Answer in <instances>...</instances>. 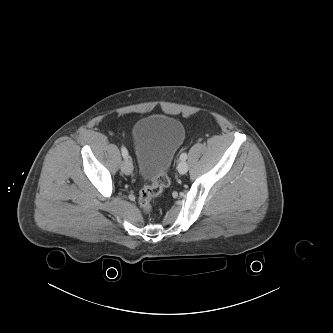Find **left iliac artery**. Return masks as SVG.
Here are the masks:
<instances>
[{"label":"left iliac artery","instance_id":"obj_1","mask_svg":"<svg viewBox=\"0 0 333 333\" xmlns=\"http://www.w3.org/2000/svg\"><path fill=\"white\" fill-rule=\"evenodd\" d=\"M186 159H187V154L186 153H182L180 155V160L185 161Z\"/></svg>","mask_w":333,"mask_h":333}]
</instances>
